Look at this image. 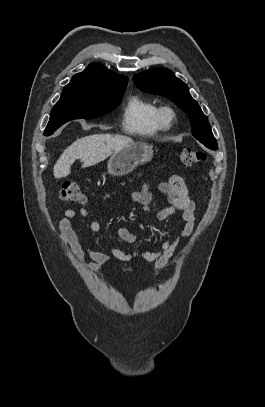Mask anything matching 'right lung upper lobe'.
Wrapping results in <instances>:
<instances>
[{
  "label": "right lung upper lobe",
  "mask_w": 265,
  "mask_h": 407,
  "mask_svg": "<svg viewBox=\"0 0 265 407\" xmlns=\"http://www.w3.org/2000/svg\"><path fill=\"white\" fill-rule=\"evenodd\" d=\"M75 81H91L110 85L128 84V78L123 75L115 74L97 63L89 64L83 72L74 75L71 82Z\"/></svg>",
  "instance_id": "right-lung-upper-lobe-1"
}]
</instances>
